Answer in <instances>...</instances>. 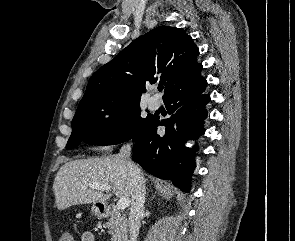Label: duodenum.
Returning <instances> with one entry per match:
<instances>
[{
	"mask_svg": "<svg viewBox=\"0 0 295 241\" xmlns=\"http://www.w3.org/2000/svg\"><path fill=\"white\" fill-rule=\"evenodd\" d=\"M106 209H107V206L106 205H102L101 206V211H106Z\"/></svg>",
	"mask_w": 295,
	"mask_h": 241,
	"instance_id": "410a0bca",
	"label": "duodenum"
}]
</instances>
